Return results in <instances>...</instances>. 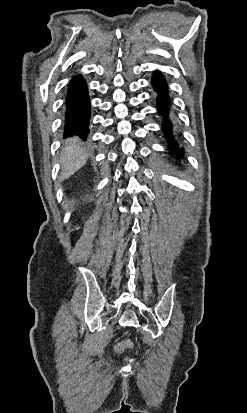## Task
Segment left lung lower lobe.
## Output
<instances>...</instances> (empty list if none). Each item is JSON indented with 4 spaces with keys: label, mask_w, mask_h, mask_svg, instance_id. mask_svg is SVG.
<instances>
[{
    "label": "left lung lower lobe",
    "mask_w": 247,
    "mask_h": 413,
    "mask_svg": "<svg viewBox=\"0 0 247 413\" xmlns=\"http://www.w3.org/2000/svg\"><path fill=\"white\" fill-rule=\"evenodd\" d=\"M152 85L155 89V91L158 93V97H157V108L160 111V114L164 117L167 116L168 113V104H167V100H168V87L167 84L165 82V79L163 78V76L161 75L160 72H157L153 78H152ZM163 130L166 134V138L169 141L170 144V148L171 151L173 153H177L178 156L182 155V150L178 149V145L177 143L173 140V135L171 133L172 131V124L168 121L165 120V122L163 123Z\"/></svg>",
    "instance_id": "left-lung-lower-lobe-1"
}]
</instances>
